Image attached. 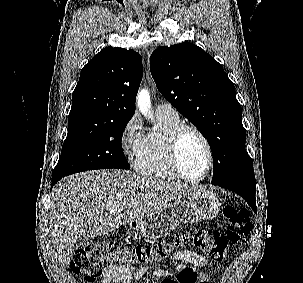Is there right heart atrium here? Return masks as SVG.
Instances as JSON below:
<instances>
[{
	"mask_svg": "<svg viewBox=\"0 0 303 283\" xmlns=\"http://www.w3.org/2000/svg\"><path fill=\"white\" fill-rule=\"evenodd\" d=\"M144 138L141 121L134 115L126 122L120 135V144L124 155L129 159L136 157Z\"/></svg>",
	"mask_w": 303,
	"mask_h": 283,
	"instance_id": "obj_1",
	"label": "right heart atrium"
}]
</instances>
